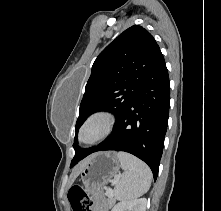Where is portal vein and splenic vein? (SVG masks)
I'll return each instance as SVG.
<instances>
[{"mask_svg":"<svg viewBox=\"0 0 221 211\" xmlns=\"http://www.w3.org/2000/svg\"><path fill=\"white\" fill-rule=\"evenodd\" d=\"M119 181V178L118 177H115L113 182H112V185L116 184L117 182ZM106 192H107V196L108 197H113V194H112V189L111 188H107L106 189Z\"/></svg>","mask_w":221,"mask_h":211,"instance_id":"portal-vein-and-splenic-vein-1","label":"portal vein and splenic vein"}]
</instances>
